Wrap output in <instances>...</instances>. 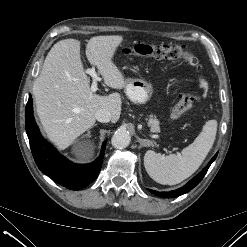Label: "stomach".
Returning a JSON list of instances; mask_svg holds the SVG:
<instances>
[{
    "instance_id": "obj_1",
    "label": "stomach",
    "mask_w": 247,
    "mask_h": 247,
    "mask_svg": "<svg viewBox=\"0 0 247 247\" xmlns=\"http://www.w3.org/2000/svg\"><path fill=\"white\" fill-rule=\"evenodd\" d=\"M153 92V85L144 79H126L125 94L134 103L145 104Z\"/></svg>"
}]
</instances>
